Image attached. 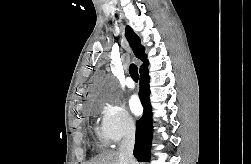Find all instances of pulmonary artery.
Wrapping results in <instances>:
<instances>
[{
	"instance_id": "1",
	"label": "pulmonary artery",
	"mask_w": 251,
	"mask_h": 164,
	"mask_svg": "<svg viewBox=\"0 0 251 164\" xmlns=\"http://www.w3.org/2000/svg\"><path fill=\"white\" fill-rule=\"evenodd\" d=\"M126 85L128 88L133 89L135 87L134 81L131 77H127L126 79Z\"/></svg>"
}]
</instances>
